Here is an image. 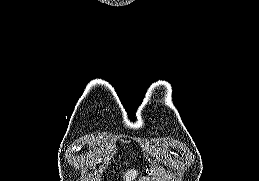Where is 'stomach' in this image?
I'll use <instances>...</instances> for the list:
<instances>
[{"label": "stomach", "mask_w": 259, "mask_h": 181, "mask_svg": "<svg viewBox=\"0 0 259 181\" xmlns=\"http://www.w3.org/2000/svg\"><path fill=\"white\" fill-rule=\"evenodd\" d=\"M140 181H147L145 178L140 179Z\"/></svg>", "instance_id": "0dacf381"}]
</instances>
